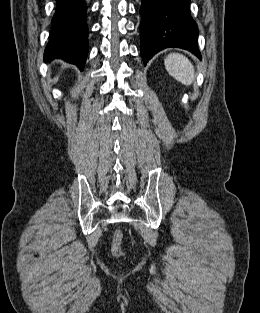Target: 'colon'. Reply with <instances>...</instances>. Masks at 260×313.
<instances>
[{
    "label": "colon",
    "mask_w": 260,
    "mask_h": 313,
    "mask_svg": "<svg viewBox=\"0 0 260 313\" xmlns=\"http://www.w3.org/2000/svg\"><path fill=\"white\" fill-rule=\"evenodd\" d=\"M122 239H123L122 231L119 229L115 230L113 233L110 250L112 255L117 258H122L124 256V252L122 250Z\"/></svg>",
    "instance_id": "colon-1"
}]
</instances>
